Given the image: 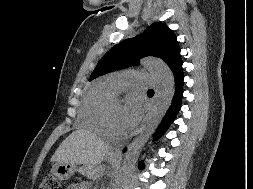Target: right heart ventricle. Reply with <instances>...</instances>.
Wrapping results in <instances>:
<instances>
[{
	"instance_id": "1",
	"label": "right heart ventricle",
	"mask_w": 253,
	"mask_h": 189,
	"mask_svg": "<svg viewBox=\"0 0 253 189\" xmlns=\"http://www.w3.org/2000/svg\"><path fill=\"white\" fill-rule=\"evenodd\" d=\"M114 92L107 82L96 83L85 96L81 105L79 119L83 127L95 133H106L104 127L105 108Z\"/></svg>"
}]
</instances>
